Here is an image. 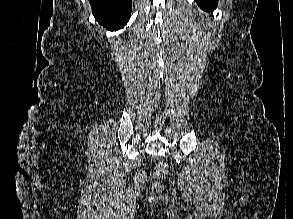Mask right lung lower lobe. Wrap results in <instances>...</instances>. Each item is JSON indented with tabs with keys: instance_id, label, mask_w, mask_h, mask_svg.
<instances>
[{
	"instance_id": "right-lung-lower-lobe-1",
	"label": "right lung lower lobe",
	"mask_w": 293,
	"mask_h": 219,
	"mask_svg": "<svg viewBox=\"0 0 293 219\" xmlns=\"http://www.w3.org/2000/svg\"><path fill=\"white\" fill-rule=\"evenodd\" d=\"M95 19L107 30H118L129 20L132 0H89Z\"/></svg>"
}]
</instances>
